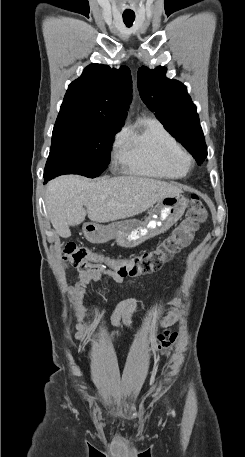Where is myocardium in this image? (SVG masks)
Instances as JSON below:
<instances>
[{
    "mask_svg": "<svg viewBox=\"0 0 245 457\" xmlns=\"http://www.w3.org/2000/svg\"><path fill=\"white\" fill-rule=\"evenodd\" d=\"M178 160L185 166H189L192 163V158L185 151L179 152Z\"/></svg>",
    "mask_w": 245,
    "mask_h": 457,
    "instance_id": "obj_1",
    "label": "myocardium"
}]
</instances>
